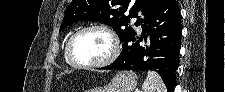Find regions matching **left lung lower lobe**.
<instances>
[{
	"label": "left lung lower lobe",
	"instance_id": "left-lung-lower-lobe-1",
	"mask_svg": "<svg viewBox=\"0 0 225 92\" xmlns=\"http://www.w3.org/2000/svg\"><path fill=\"white\" fill-rule=\"evenodd\" d=\"M140 45L135 35L123 42L119 57L102 69L153 70L173 92L181 46V16L176 0H165L142 22Z\"/></svg>",
	"mask_w": 225,
	"mask_h": 92
}]
</instances>
